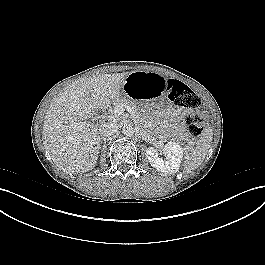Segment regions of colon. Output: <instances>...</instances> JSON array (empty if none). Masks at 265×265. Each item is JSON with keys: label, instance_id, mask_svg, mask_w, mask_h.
<instances>
[{"label": "colon", "instance_id": "obj_1", "mask_svg": "<svg viewBox=\"0 0 265 265\" xmlns=\"http://www.w3.org/2000/svg\"><path fill=\"white\" fill-rule=\"evenodd\" d=\"M169 101L179 107L198 109L201 105L199 97L185 83L169 79L165 83ZM187 128L194 136L202 134L205 125V113L201 110L188 115L185 119Z\"/></svg>", "mask_w": 265, "mask_h": 265}]
</instances>
